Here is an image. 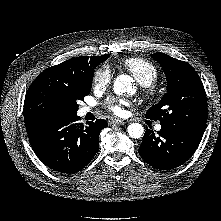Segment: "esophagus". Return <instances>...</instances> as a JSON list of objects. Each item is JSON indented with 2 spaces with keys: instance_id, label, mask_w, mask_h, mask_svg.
Instances as JSON below:
<instances>
[{
  "instance_id": "obj_1",
  "label": "esophagus",
  "mask_w": 221,
  "mask_h": 221,
  "mask_svg": "<svg viewBox=\"0 0 221 221\" xmlns=\"http://www.w3.org/2000/svg\"><path fill=\"white\" fill-rule=\"evenodd\" d=\"M110 123L114 124V125H124V124H126V121L125 120H120V119H114Z\"/></svg>"
}]
</instances>
